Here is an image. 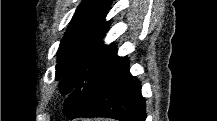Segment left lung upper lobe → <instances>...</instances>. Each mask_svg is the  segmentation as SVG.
<instances>
[{"label":"left lung upper lobe","mask_w":217,"mask_h":121,"mask_svg":"<svg viewBox=\"0 0 217 121\" xmlns=\"http://www.w3.org/2000/svg\"><path fill=\"white\" fill-rule=\"evenodd\" d=\"M110 0H83L69 24L57 51L56 80L62 78L60 90L69 93L75 86L64 107L71 119L88 85L116 51L106 46L103 37L109 22L105 21Z\"/></svg>","instance_id":"obj_1"}]
</instances>
